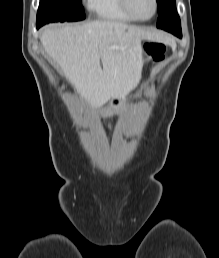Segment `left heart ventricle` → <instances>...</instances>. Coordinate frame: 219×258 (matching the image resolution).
Returning <instances> with one entry per match:
<instances>
[{
  "label": "left heart ventricle",
  "mask_w": 219,
  "mask_h": 258,
  "mask_svg": "<svg viewBox=\"0 0 219 258\" xmlns=\"http://www.w3.org/2000/svg\"><path fill=\"white\" fill-rule=\"evenodd\" d=\"M133 13L139 18H148L154 10L153 0H129Z\"/></svg>",
  "instance_id": "left-heart-ventricle-1"
}]
</instances>
